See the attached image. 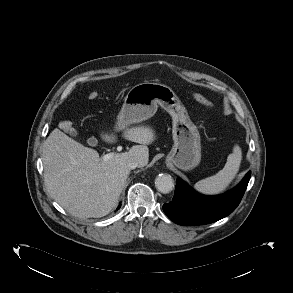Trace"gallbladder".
Instances as JSON below:
<instances>
[{"instance_id":"obj_1","label":"gallbladder","mask_w":293,"mask_h":293,"mask_svg":"<svg viewBox=\"0 0 293 293\" xmlns=\"http://www.w3.org/2000/svg\"><path fill=\"white\" fill-rule=\"evenodd\" d=\"M69 134L71 135V136H73V137H76L77 136V131L76 130H70L69 131ZM95 141V139L94 138H91V142H94Z\"/></svg>"}]
</instances>
